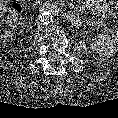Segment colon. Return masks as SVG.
Returning <instances> with one entry per match:
<instances>
[{"label":"colon","instance_id":"colon-1","mask_svg":"<svg viewBox=\"0 0 118 118\" xmlns=\"http://www.w3.org/2000/svg\"><path fill=\"white\" fill-rule=\"evenodd\" d=\"M20 19H21V6L19 3H13L11 7L6 11L3 23L6 26H16L19 24Z\"/></svg>","mask_w":118,"mask_h":118}]
</instances>
